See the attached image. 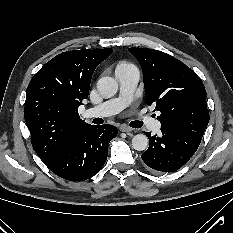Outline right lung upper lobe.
I'll return each instance as SVG.
<instances>
[{
  "label": "right lung upper lobe",
  "mask_w": 233,
  "mask_h": 233,
  "mask_svg": "<svg viewBox=\"0 0 233 233\" xmlns=\"http://www.w3.org/2000/svg\"><path fill=\"white\" fill-rule=\"evenodd\" d=\"M113 49L63 52L47 62L31 79L24 116L34 151L41 159L90 124L81 120L78 107L87 99L96 67Z\"/></svg>",
  "instance_id": "1"
}]
</instances>
